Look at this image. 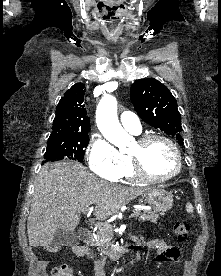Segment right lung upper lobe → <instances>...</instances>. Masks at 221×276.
Listing matches in <instances>:
<instances>
[{
  "instance_id": "cb5924a9",
  "label": "right lung upper lobe",
  "mask_w": 221,
  "mask_h": 276,
  "mask_svg": "<svg viewBox=\"0 0 221 276\" xmlns=\"http://www.w3.org/2000/svg\"><path fill=\"white\" fill-rule=\"evenodd\" d=\"M84 87L83 83H76L60 99L49 138L88 135L91 128L84 107Z\"/></svg>"
}]
</instances>
